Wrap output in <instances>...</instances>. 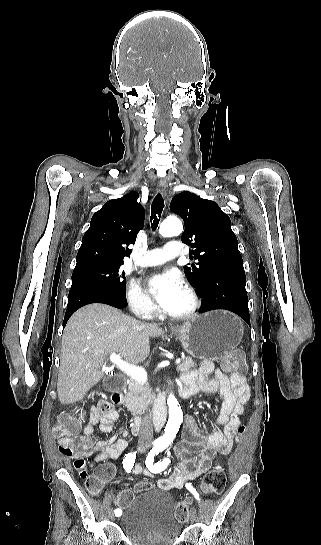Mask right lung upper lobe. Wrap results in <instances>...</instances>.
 <instances>
[{"instance_id":"obj_1","label":"right lung upper lobe","mask_w":321,"mask_h":545,"mask_svg":"<svg viewBox=\"0 0 321 545\" xmlns=\"http://www.w3.org/2000/svg\"><path fill=\"white\" fill-rule=\"evenodd\" d=\"M139 195L132 191L113 199L97 211L82 238L76 268L96 264H123L130 257L138 232L143 228L144 209L137 204Z\"/></svg>"}]
</instances>
